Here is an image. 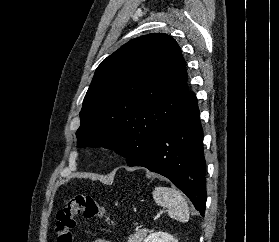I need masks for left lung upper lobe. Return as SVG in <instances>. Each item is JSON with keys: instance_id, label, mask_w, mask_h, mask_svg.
I'll list each match as a JSON object with an SVG mask.
<instances>
[{"instance_id": "5c2ea615", "label": "left lung upper lobe", "mask_w": 279, "mask_h": 242, "mask_svg": "<svg viewBox=\"0 0 279 242\" xmlns=\"http://www.w3.org/2000/svg\"><path fill=\"white\" fill-rule=\"evenodd\" d=\"M189 93L186 62L172 37L132 39L98 66L80 112L78 146L112 148L128 163L171 122Z\"/></svg>"}]
</instances>
